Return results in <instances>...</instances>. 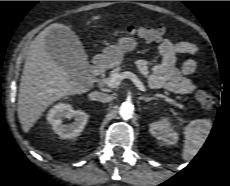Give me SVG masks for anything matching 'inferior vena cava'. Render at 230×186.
<instances>
[{
	"label": "inferior vena cava",
	"mask_w": 230,
	"mask_h": 186,
	"mask_svg": "<svg viewBox=\"0 0 230 186\" xmlns=\"http://www.w3.org/2000/svg\"><path fill=\"white\" fill-rule=\"evenodd\" d=\"M90 97L92 100L100 101L103 103L109 102L112 99V97L110 95L105 94V93H101V92H97V91L92 92Z\"/></svg>",
	"instance_id": "602c4592"
}]
</instances>
